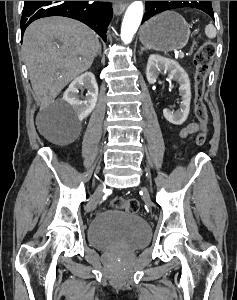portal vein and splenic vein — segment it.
<instances>
[{"label":"portal vein and splenic vein","mask_w":237,"mask_h":300,"mask_svg":"<svg viewBox=\"0 0 237 300\" xmlns=\"http://www.w3.org/2000/svg\"><path fill=\"white\" fill-rule=\"evenodd\" d=\"M180 57V59L182 60L184 57H183V52H180L179 54H178Z\"/></svg>","instance_id":"1"}]
</instances>
